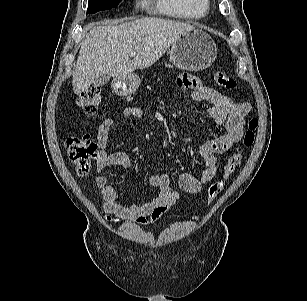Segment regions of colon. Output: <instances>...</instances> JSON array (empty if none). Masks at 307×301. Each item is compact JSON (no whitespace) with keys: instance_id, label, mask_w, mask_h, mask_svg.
<instances>
[{"instance_id":"5ec220e1","label":"colon","mask_w":307,"mask_h":301,"mask_svg":"<svg viewBox=\"0 0 307 301\" xmlns=\"http://www.w3.org/2000/svg\"><path fill=\"white\" fill-rule=\"evenodd\" d=\"M216 83L225 89H233L236 86L235 79L226 72L217 71L214 75ZM101 91L92 87L82 92L77 98V104L86 115H93L101 103ZM258 127V119L252 118L244 134L243 144L246 148L251 147L255 140V131ZM66 150L70 161L75 165L79 175L88 173L93 160L97 156V145L88 135L69 136L65 141ZM243 154L236 152L232 154L223 168L221 178L210 184L206 191V200L211 204L222 191L225 181L233 171L241 164Z\"/></svg>"}]
</instances>
